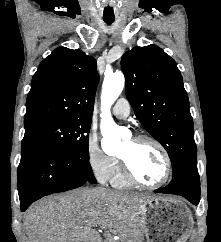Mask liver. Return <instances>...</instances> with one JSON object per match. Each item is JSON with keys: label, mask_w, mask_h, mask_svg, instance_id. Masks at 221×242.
Wrapping results in <instances>:
<instances>
[{"label": "liver", "mask_w": 221, "mask_h": 242, "mask_svg": "<svg viewBox=\"0 0 221 242\" xmlns=\"http://www.w3.org/2000/svg\"><path fill=\"white\" fill-rule=\"evenodd\" d=\"M153 196L104 188H82L44 198L24 216L29 242H101L96 227L121 242H142V203Z\"/></svg>", "instance_id": "1"}]
</instances>
